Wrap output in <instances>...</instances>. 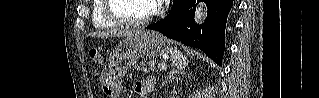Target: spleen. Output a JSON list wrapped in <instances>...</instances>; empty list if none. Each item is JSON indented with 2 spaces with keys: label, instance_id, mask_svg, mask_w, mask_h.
I'll use <instances>...</instances> for the list:
<instances>
[{
  "label": "spleen",
  "instance_id": "spleen-1",
  "mask_svg": "<svg viewBox=\"0 0 319 98\" xmlns=\"http://www.w3.org/2000/svg\"><path fill=\"white\" fill-rule=\"evenodd\" d=\"M171 58L173 59V64L178 70H182L188 65V60L177 48H170L169 50Z\"/></svg>",
  "mask_w": 319,
  "mask_h": 98
}]
</instances>
